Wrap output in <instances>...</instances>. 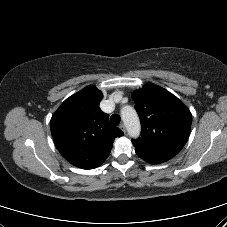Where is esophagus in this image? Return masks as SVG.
Here are the masks:
<instances>
[{
    "instance_id": "esophagus-1",
    "label": "esophagus",
    "mask_w": 227,
    "mask_h": 227,
    "mask_svg": "<svg viewBox=\"0 0 227 227\" xmlns=\"http://www.w3.org/2000/svg\"><path fill=\"white\" fill-rule=\"evenodd\" d=\"M119 128L125 133L126 132V127L124 124H120Z\"/></svg>"
}]
</instances>
